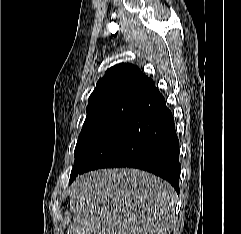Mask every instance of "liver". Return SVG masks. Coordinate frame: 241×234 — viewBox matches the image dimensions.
<instances>
[{"label": "liver", "instance_id": "1", "mask_svg": "<svg viewBox=\"0 0 241 234\" xmlns=\"http://www.w3.org/2000/svg\"><path fill=\"white\" fill-rule=\"evenodd\" d=\"M176 202L174 188L148 172H88L71 185L68 234H170Z\"/></svg>", "mask_w": 241, "mask_h": 234}]
</instances>
